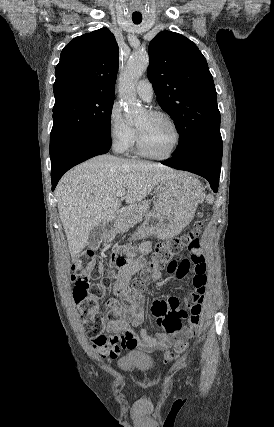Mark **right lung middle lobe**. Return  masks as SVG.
<instances>
[{"instance_id": "obj_1", "label": "right lung middle lobe", "mask_w": 274, "mask_h": 427, "mask_svg": "<svg viewBox=\"0 0 274 427\" xmlns=\"http://www.w3.org/2000/svg\"><path fill=\"white\" fill-rule=\"evenodd\" d=\"M114 95L69 96L53 108L50 158L68 144L85 137L111 138Z\"/></svg>"}]
</instances>
